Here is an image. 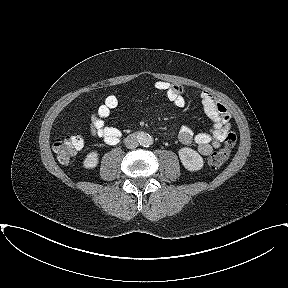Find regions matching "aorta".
Returning a JSON list of instances; mask_svg holds the SVG:
<instances>
[{"label": "aorta", "instance_id": "obj_1", "mask_svg": "<svg viewBox=\"0 0 288 288\" xmlns=\"http://www.w3.org/2000/svg\"><path fill=\"white\" fill-rule=\"evenodd\" d=\"M139 143L144 147H149L153 144V138L151 135L143 133L139 137Z\"/></svg>", "mask_w": 288, "mask_h": 288}]
</instances>
